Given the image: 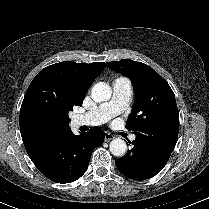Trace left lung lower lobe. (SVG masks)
Segmentation results:
<instances>
[{
    "mask_svg": "<svg viewBox=\"0 0 209 209\" xmlns=\"http://www.w3.org/2000/svg\"><path fill=\"white\" fill-rule=\"evenodd\" d=\"M177 137L137 134L134 148L115 160L118 170L133 180H146L158 174L166 165Z\"/></svg>",
    "mask_w": 209,
    "mask_h": 209,
    "instance_id": "0a47b994",
    "label": "left lung lower lobe"
}]
</instances>
